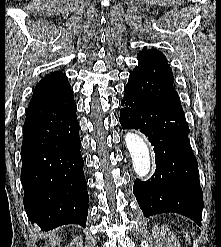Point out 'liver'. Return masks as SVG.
Instances as JSON below:
<instances>
[{"label": "liver", "mask_w": 221, "mask_h": 247, "mask_svg": "<svg viewBox=\"0 0 221 247\" xmlns=\"http://www.w3.org/2000/svg\"><path fill=\"white\" fill-rule=\"evenodd\" d=\"M58 241H59L58 237H56V239L53 238V239H52L53 245L55 246V244H56Z\"/></svg>", "instance_id": "1"}]
</instances>
